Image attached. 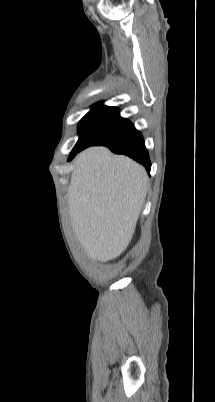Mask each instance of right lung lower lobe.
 I'll return each mask as SVG.
<instances>
[{"label": "right lung lower lobe", "instance_id": "1", "mask_svg": "<svg viewBox=\"0 0 215 402\" xmlns=\"http://www.w3.org/2000/svg\"><path fill=\"white\" fill-rule=\"evenodd\" d=\"M107 146L112 152L125 154L145 166L148 173L151 169V163L148 151L145 147L142 135L133 126L121 138L110 144H100ZM92 145H81L74 148L69 159H72L78 152Z\"/></svg>", "mask_w": 215, "mask_h": 402}]
</instances>
